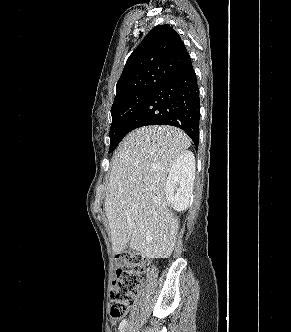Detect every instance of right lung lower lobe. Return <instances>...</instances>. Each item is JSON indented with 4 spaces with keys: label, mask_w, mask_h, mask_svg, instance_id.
Here are the masks:
<instances>
[{
    "label": "right lung lower lobe",
    "mask_w": 291,
    "mask_h": 332,
    "mask_svg": "<svg viewBox=\"0 0 291 332\" xmlns=\"http://www.w3.org/2000/svg\"><path fill=\"white\" fill-rule=\"evenodd\" d=\"M199 120V89L191 63L155 87L133 116L127 132L147 125H171L184 130L197 147Z\"/></svg>",
    "instance_id": "obj_1"
}]
</instances>
